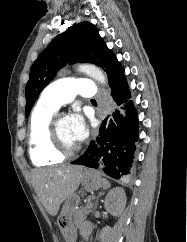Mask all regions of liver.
<instances>
[{
  "label": "liver",
  "instance_id": "obj_1",
  "mask_svg": "<svg viewBox=\"0 0 187 242\" xmlns=\"http://www.w3.org/2000/svg\"><path fill=\"white\" fill-rule=\"evenodd\" d=\"M82 173L83 167L78 165L33 171L32 182L35 192L51 216H56L62 202L78 189Z\"/></svg>",
  "mask_w": 187,
  "mask_h": 242
}]
</instances>
